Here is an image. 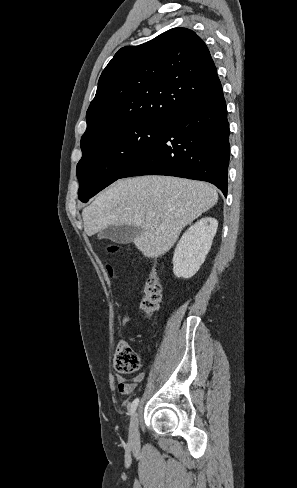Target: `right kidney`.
Here are the masks:
<instances>
[{
  "mask_svg": "<svg viewBox=\"0 0 297 488\" xmlns=\"http://www.w3.org/2000/svg\"><path fill=\"white\" fill-rule=\"evenodd\" d=\"M217 227L215 218L205 217L186 230L173 256V273L177 278H190L199 270L210 251Z\"/></svg>",
  "mask_w": 297,
  "mask_h": 488,
  "instance_id": "right-kidney-1",
  "label": "right kidney"
}]
</instances>
